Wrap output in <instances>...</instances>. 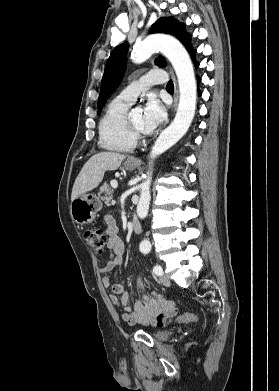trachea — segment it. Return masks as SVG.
<instances>
[{
    "mask_svg": "<svg viewBox=\"0 0 279 391\" xmlns=\"http://www.w3.org/2000/svg\"><path fill=\"white\" fill-rule=\"evenodd\" d=\"M166 89L174 90V84L171 80L167 83Z\"/></svg>",
    "mask_w": 279,
    "mask_h": 391,
    "instance_id": "1",
    "label": "trachea"
}]
</instances>
